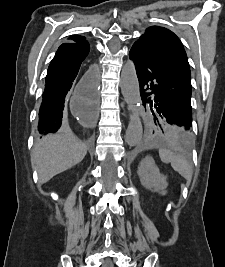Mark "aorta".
Returning <instances> with one entry per match:
<instances>
[{"label": "aorta", "mask_w": 225, "mask_h": 267, "mask_svg": "<svg viewBox=\"0 0 225 267\" xmlns=\"http://www.w3.org/2000/svg\"><path fill=\"white\" fill-rule=\"evenodd\" d=\"M121 92L131 111L130 122L126 131L125 140L129 146L140 143L143 133L139 116L140 90L134 63L127 61L121 72Z\"/></svg>", "instance_id": "762f6f07"}]
</instances>
